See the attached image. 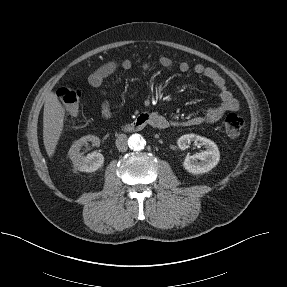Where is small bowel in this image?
I'll list each match as a JSON object with an SVG mask.
<instances>
[{
	"instance_id": "obj_1",
	"label": "small bowel",
	"mask_w": 287,
	"mask_h": 287,
	"mask_svg": "<svg viewBox=\"0 0 287 287\" xmlns=\"http://www.w3.org/2000/svg\"><path fill=\"white\" fill-rule=\"evenodd\" d=\"M159 64L164 68H170L173 66V60L169 56L162 55L158 60ZM150 65L143 63V69L148 70ZM132 68V62L129 59L111 60L97 69H95L88 77V82L95 88H103L105 80L116 73L119 70L128 71ZM178 69L182 73H187L193 70L194 73L204 76L209 79L219 92V103L217 105L208 107L202 115L190 116L184 119H177L172 117H166L157 112L151 113L157 118V128L165 129L172 126H196L202 123H215L224 113L228 111H236L239 109V102L229 91L225 79L214 68L205 66L201 63L195 64L193 67L186 61H182L178 64ZM102 94L105 95L104 90ZM101 116L104 119H110L112 117V110L110 102L104 99L101 104Z\"/></svg>"
}]
</instances>
